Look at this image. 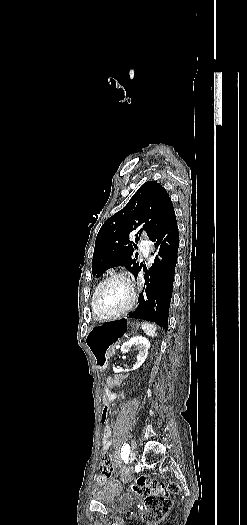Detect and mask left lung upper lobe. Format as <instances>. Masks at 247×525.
Instances as JSON below:
<instances>
[{
	"label": "left lung upper lobe",
	"instance_id": "1",
	"mask_svg": "<svg viewBox=\"0 0 247 525\" xmlns=\"http://www.w3.org/2000/svg\"><path fill=\"white\" fill-rule=\"evenodd\" d=\"M172 201L156 181L145 182L127 205L110 217L99 230L92 258V272L97 277L109 268L125 266L136 276L142 267L131 258L136 244L129 240L135 234L136 242L142 231L150 238L172 214Z\"/></svg>",
	"mask_w": 247,
	"mask_h": 525
}]
</instances>
